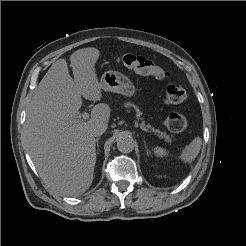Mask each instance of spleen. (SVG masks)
I'll use <instances>...</instances> for the list:
<instances>
[{"instance_id": "obj_1", "label": "spleen", "mask_w": 246, "mask_h": 246, "mask_svg": "<svg viewBox=\"0 0 246 246\" xmlns=\"http://www.w3.org/2000/svg\"><path fill=\"white\" fill-rule=\"evenodd\" d=\"M201 145H202L201 138L199 136L195 137L190 142V144L184 148L180 158L186 163H191L197 157L200 151ZM153 153L156 157H165L168 155L167 150L159 146L153 149Z\"/></svg>"}]
</instances>
